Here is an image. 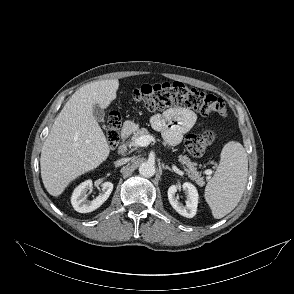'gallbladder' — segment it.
<instances>
[{
    "instance_id": "1",
    "label": "gallbladder",
    "mask_w": 294,
    "mask_h": 294,
    "mask_svg": "<svg viewBox=\"0 0 294 294\" xmlns=\"http://www.w3.org/2000/svg\"><path fill=\"white\" fill-rule=\"evenodd\" d=\"M93 116L98 122L104 121L105 112L98 104L93 106Z\"/></svg>"
}]
</instances>
